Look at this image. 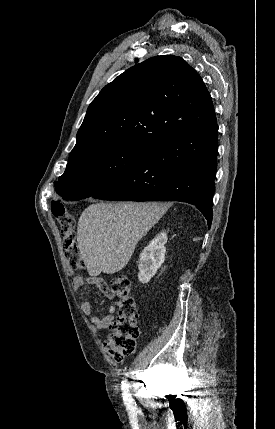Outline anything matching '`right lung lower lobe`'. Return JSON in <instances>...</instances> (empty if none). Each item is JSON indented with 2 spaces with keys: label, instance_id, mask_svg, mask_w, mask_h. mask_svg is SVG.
<instances>
[{
  "label": "right lung lower lobe",
  "instance_id": "1",
  "mask_svg": "<svg viewBox=\"0 0 275 429\" xmlns=\"http://www.w3.org/2000/svg\"><path fill=\"white\" fill-rule=\"evenodd\" d=\"M217 154V121L179 132L155 145L138 167L92 197L187 202L201 210L210 228Z\"/></svg>",
  "mask_w": 275,
  "mask_h": 429
}]
</instances>
